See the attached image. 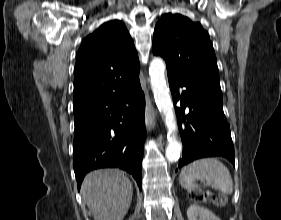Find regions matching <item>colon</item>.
Wrapping results in <instances>:
<instances>
[{"instance_id":"1","label":"colon","mask_w":281,"mask_h":220,"mask_svg":"<svg viewBox=\"0 0 281 220\" xmlns=\"http://www.w3.org/2000/svg\"><path fill=\"white\" fill-rule=\"evenodd\" d=\"M190 199L198 202H210L217 206H223L227 203V197L223 194H213L202 190H193L189 193Z\"/></svg>"}]
</instances>
